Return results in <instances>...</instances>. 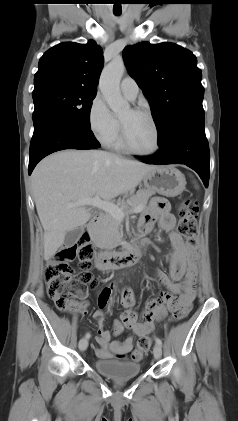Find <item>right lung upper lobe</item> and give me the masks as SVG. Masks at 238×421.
<instances>
[{
	"label": "right lung upper lobe",
	"instance_id": "right-lung-upper-lobe-1",
	"mask_svg": "<svg viewBox=\"0 0 238 421\" xmlns=\"http://www.w3.org/2000/svg\"><path fill=\"white\" fill-rule=\"evenodd\" d=\"M102 67L103 50L94 41L85 45L63 42L40 58L34 87L60 84L97 92Z\"/></svg>",
	"mask_w": 238,
	"mask_h": 421
}]
</instances>
